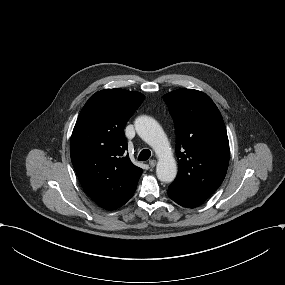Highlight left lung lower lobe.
Returning <instances> with one entry per match:
<instances>
[{
  "instance_id": "left-lung-lower-lobe-1",
  "label": "left lung lower lobe",
  "mask_w": 285,
  "mask_h": 285,
  "mask_svg": "<svg viewBox=\"0 0 285 285\" xmlns=\"http://www.w3.org/2000/svg\"><path fill=\"white\" fill-rule=\"evenodd\" d=\"M168 196L175 201L177 204L187 207L195 208L204 203V199L195 197L185 191H183L178 186L171 184L168 187Z\"/></svg>"
}]
</instances>
